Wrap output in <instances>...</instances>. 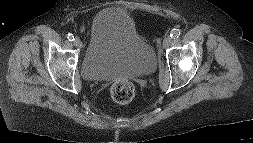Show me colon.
I'll use <instances>...</instances> for the list:
<instances>
[{"label":"colon","instance_id":"colon-1","mask_svg":"<svg viewBox=\"0 0 253 143\" xmlns=\"http://www.w3.org/2000/svg\"><path fill=\"white\" fill-rule=\"evenodd\" d=\"M110 96L113 101L120 104H126L134 99L135 88L130 81L119 79L111 85Z\"/></svg>","mask_w":253,"mask_h":143}]
</instances>
